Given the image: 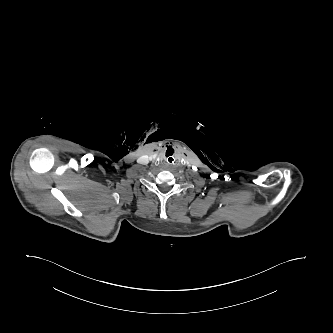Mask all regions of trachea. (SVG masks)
Returning a JSON list of instances; mask_svg holds the SVG:
<instances>
[{
	"instance_id": "1",
	"label": "trachea",
	"mask_w": 333,
	"mask_h": 333,
	"mask_svg": "<svg viewBox=\"0 0 333 333\" xmlns=\"http://www.w3.org/2000/svg\"><path fill=\"white\" fill-rule=\"evenodd\" d=\"M164 159H165L167 164L174 165L178 161V155L174 151H169L165 154Z\"/></svg>"
}]
</instances>
